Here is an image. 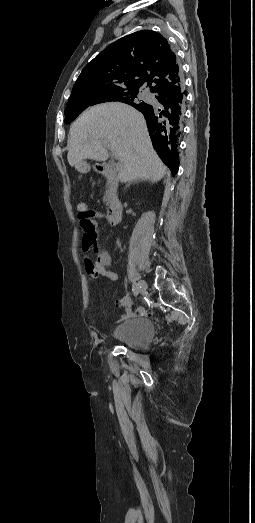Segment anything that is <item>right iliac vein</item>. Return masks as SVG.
Returning a JSON list of instances; mask_svg holds the SVG:
<instances>
[{"label": "right iliac vein", "mask_w": 255, "mask_h": 523, "mask_svg": "<svg viewBox=\"0 0 255 523\" xmlns=\"http://www.w3.org/2000/svg\"><path fill=\"white\" fill-rule=\"evenodd\" d=\"M139 285H140V291H141V292H145L146 289H147V284H146V282H145L144 280H141V281L139 282Z\"/></svg>", "instance_id": "1"}]
</instances>
